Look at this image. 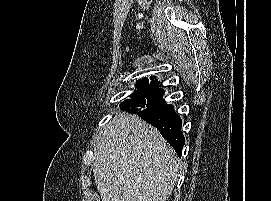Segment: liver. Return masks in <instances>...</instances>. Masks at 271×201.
I'll return each instance as SVG.
<instances>
[{
	"label": "liver",
	"mask_w": 271,
	"mask_h": 201,
	"mask_svg": "<svg viewBox=\"0 0 271 201\" xmlns=\"http://www.w3.org/2000/svg\"><path fill=\"white\" fill-rule=\"evenodd\" d=\"M94 156L101 201H166L178 179L173 149L136 115L118 114L108 122Z\"/></svg>",
	"instance_id": "obj_1"
}]
</instances>
